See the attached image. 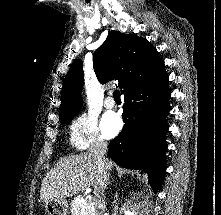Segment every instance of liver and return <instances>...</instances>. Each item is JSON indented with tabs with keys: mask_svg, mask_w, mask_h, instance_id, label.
Returning <instances> with one entry per match:
<instances>
[{
	"mask_svg": "<svg viewBox=\"0 0 221 215\" xmlns=\"http://www.w3.org/2000/svg\"><path fill=\"white\" fill-rule=\"evenodd\" d=\"M112 168L113 162L108 160L106 170ZM97 175V160L90 152L66 156L44 177L40 190L41 200L46 203L83 192L95 185Z\"/></svg>",
	"mask_w": 221,
	"mask_h": 215,
	"instance_id": "1",
	"label": "liver"
}]
</instances>
